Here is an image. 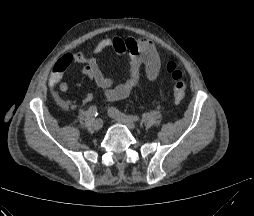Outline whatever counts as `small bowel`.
<instances>
[{"label":"small bowel","instance_id":"small-bowel-1","mask_svg":"<svg viewBox=\"0 0 254 216\" xmlns=\"http://www.w3.org/2000/svg\"><path fill=\"white\" fill-rule=\"evenodd\" d=\"M112 48L119 55H128L130 66L124 81L115 84L111 76L105 75L100 68V60L97 57H87L84 53H67L58 62L66 64L63 68L59 63L54 67L49 78L53 98L66 106L70 103L61 94L68 90V84L63 81L65 70L73 63H86L83 73L88 79L102 91V95L110 100L117 101L127 98L131 92L141 83L142 77L146 83L156 80L161 68V53L148 39H135L133 37L121 38L119 36L106 37L98 41L94 47L96 55ZM58 90V91H57ZM93 99V93L88 92L83 103Z\"/></svg>","mask_w":254,"mask_h":216}]
</instances>
